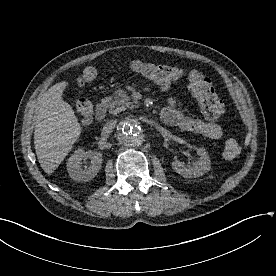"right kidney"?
<instances>
[{"instance_id":"right-kidney-1","label":"right kidney","mask_w":276,"mask_h":276,"mask_svg":"<svg viewBox=\"0 0 276 276\" xmlns=\"http://www.w3.org/2000/svg\"><path fill=\"white\" fill-rule=\"evenodd\" d=\"M84 158L91 159L90 166L86 169H82V160ZM102 164V154L94 151L87 153L83 149H78L71 155L67 162V171L70 177L78 182H86L94 178Z\"/></svg>"}]
</instances>
